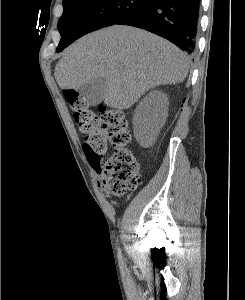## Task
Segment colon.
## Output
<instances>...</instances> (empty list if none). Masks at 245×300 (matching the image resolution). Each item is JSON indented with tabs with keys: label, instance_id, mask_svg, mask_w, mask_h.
<instances>
[{
	"label": "colon",
	"instance_id": "5ec220e1",
	"mask_svg": "<svg viewBox=\"0 0 245 300\" xmlns=\"http://www.w3.org/2000/svg\"><path fill=\"white\" fill-rule=\"evenodd\" d=\"M65 97L74 112L79 130L84 134L83 151L91 166L100 175V186L108 195H123L141 183L140 168L129 144L131 134L124 114L102 107L100 115L91 109L86 99L75 90ZM108 145L113 149L106 155Z\"/></svg>",
	"mask_w": 245,
	"mask_h": 300
}]
</instances>
